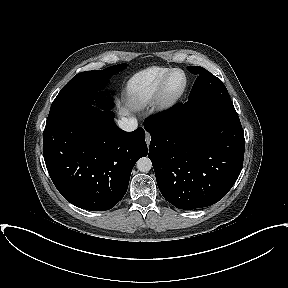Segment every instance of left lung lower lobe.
<instances>
[{"label":"left lung lower lobe","mask_w":288,"mask_h":288,"mask_svg":"<svg viewBox=\"0 0 288 288\" xmlns=\"http://www.w3.org/2000/svg\"><path fill=\"white\" fill-rule=\"evenodd\" d=\"M148 157L164 198L184 210L221 200L243 166L245 139L237 113L190 102L149 117Z\"/></svg>","instance_id":"left-lung-lower-lobe-1"}]
</instances>
